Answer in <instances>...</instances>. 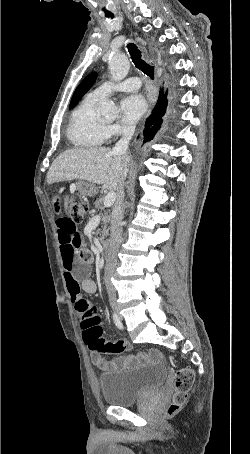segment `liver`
Masks as SVG:
<instances>
[{
    "mask_svg": "<svg viewBox=\"0 0 250 454\" xmlns=\"http://www.w3.org/2000/svg\"><path fill=\"white\" fill-rule=\"evenodd\" d=\"M129 158L105 147L75 148L61 153L47 173V183L84 180L119 191L128 172Z\"/></svg>",
    "mask_w": 250,
    "mask_h": 454,
    "instance_id": "1",
    "label": "liver"
}]
</instances>
